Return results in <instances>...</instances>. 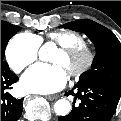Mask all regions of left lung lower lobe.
Returning a JSON list of instances; mask_svg holds the SVG:
<instances>
[{"label":"left lung lower lobe","instance_id":"obj_1","mask_svg":"<svg viewBox=\"0 0 121 121\" xmlns=\"http://www.w3.org/2000/svg\"><path fill=\"white\" fill-rule=\"evenodd\" d=\"M74 89L77 91L74 92ZM66 95H73L74 100H81L79 106H74L67 116L59 117V121H110L121 92L101 82L76 84Z\"/></svg>","mask_w":121,"mask_h":121}]
</instances>
